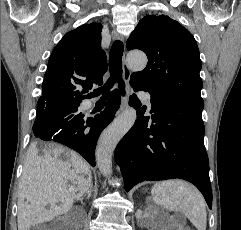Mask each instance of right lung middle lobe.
Masks as SVG:
<instances>
[{"label":"right lung middle lobe","mask_w":241,"mask_h":230,"mask_svg":"<svg viewBox=\"0 0 241 230\" xmlns=\"http://www.w3.org/2000/svg\"><path fill=\"white\" fill-rule=\"evenodd\" d=\"M80 103L70 102L62 105H37V110H40L45 107V109L53 111L58 108H65L63 118H52L49 120V124L51 127L61 130L70 127L73 124H76L79 120H81L82 113L78 111V106Z\"/></svg>","instance_id":"obj_1"}]
</instances>
